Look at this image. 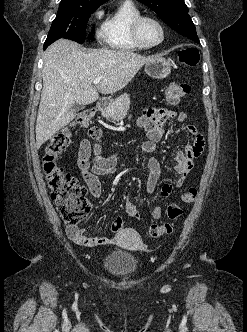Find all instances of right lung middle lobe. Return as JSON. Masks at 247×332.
Here are the masks:
<instances>
[{
	"instance_id": "1",
	"label": "right lung middle lobe",
	"mask_w": 247,
	"mask_h": 332,
	"mask_svg": "<svg viewBox=\"0 0 247 332\" xmlns=\"http://www.w3.org/2000/svg\"><path fill=\"white\" fill-rule=\"evenodd\" d=\"M100 5L102 4L62 0L47 40L66 38L84 43L89 17Z\"/></svg>"
}]
</instances>
